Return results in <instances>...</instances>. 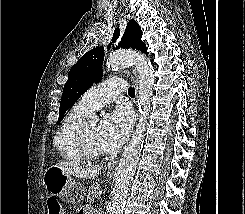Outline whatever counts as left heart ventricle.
I'll return each instance as SVG.
<instances>
[{
    "label": "left heart ventricle",
    "mask_w": 245,
    "mask_h": 214,
    "mask_svg": "<svg viewBox=\"0 0 245 214\" xmlns=\"http://www.w3.org/2000/svg\"><path fill=\"white\" fill-rule=\"evenodd\" d=\"M97 129L98 125L95 122H88L86 129L87 142L92 150L97 152H103V149L101 148L98 142Z\"/></svg>",
    "instance_id": "left-heart-ventricle-1"
}]
</instances>
